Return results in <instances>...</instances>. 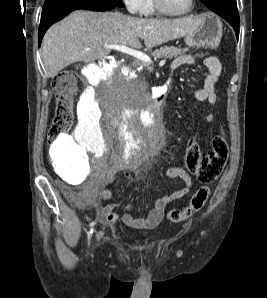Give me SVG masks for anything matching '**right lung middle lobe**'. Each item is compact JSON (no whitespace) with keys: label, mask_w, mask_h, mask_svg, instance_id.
Returning a JSON list of instances; mask_svg holds the SVG:
<instances>
[{"label":"right lung middle lobe","mask_w":267,"mask_h":298,"mask_svg":"<svg viewBox=\"0 0 267 298\" xmlns=\"http://www.w3.org/2000/svg\"><path fill=\"white\" fill-rule=\"evenodd\" d=\"M58 1H60V0H45L43 10H46L48 7H50L51 5H53L54 3L58 2ZM99 1L112 3L118 7L123 6L122 0H99Z\"/></svg>","instance_id":"obj_1"}]
</instances>
